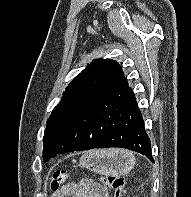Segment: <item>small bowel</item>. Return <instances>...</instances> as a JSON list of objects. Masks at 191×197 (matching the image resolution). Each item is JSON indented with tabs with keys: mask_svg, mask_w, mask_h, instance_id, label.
Returning a JSON list of instances; mask_svg holds the SVG:
<instances>
[{
	"mask_svg": "<svg viewBox=\"0 0 191 197\" xmlns=\"http://www.w3.org/2000/svg\"><path fill=\"white\" fill-rule=\"evenodd\" d=\"M52 197H108V191L101 184L80 181L64 185Z\"/></svg>",
	"mask_w": 191,
	"mask_h": 197,
	"instance_id": "obj_1",
	"label": "small bowel"
}]
</instances>
